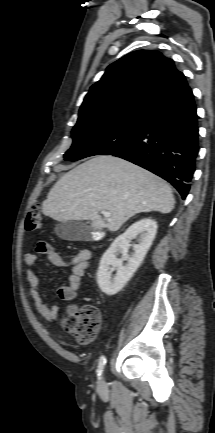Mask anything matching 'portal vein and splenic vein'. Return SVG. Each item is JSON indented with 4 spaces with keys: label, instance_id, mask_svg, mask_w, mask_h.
<instances>
[{
    "label": "portal vein and splenic vein",
    "instance_id": "1",
    "mask_svg": "<svg viewBox=\"0 0 215 433\" xmlns=\"http://www.w3.org/2000/svg\"><path fill=\"white\" fill-rule=\"evenodd\" d=\"M102 214L105 218H109L111 215L110 212H108V211H104V212H102Z\"/></svg>",
    "mask_w": 215,
    "mask_h": 433
}]
</instances>
